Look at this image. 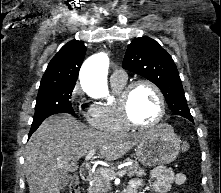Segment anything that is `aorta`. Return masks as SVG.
<instances>
[{"label":"aorta","instance_id":"762f6f07","mask_svg":"<svg viewBox=\"0 0 221 193\" xmlns=\"http://www.w3.org/2000/svg\"><path fill=\"white\" fill-rule=\"evenodd\" d=\"M108 60L103 53L91 56L82 66L81 78L86 91L95 98L105 97L108 93L105 71Z\"/></svg>","mask_w":221,"mask_h":193}]
</instances>
